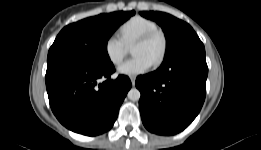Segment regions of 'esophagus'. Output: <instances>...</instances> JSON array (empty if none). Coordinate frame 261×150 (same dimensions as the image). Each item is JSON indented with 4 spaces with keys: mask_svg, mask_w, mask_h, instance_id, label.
Listing matches in <instances>:
<instances>
[{
    "mask_svg": "<svg viewBox=\"0 0 261 150\" xmlns=\"http://www.w3.org/2000/svg\"><path fill=\"white\" fill-rule=\"evenodd\" d=\"M130 80H131L132 85L135 86L136 77L135 76H131Z\"/></svg>",
    "mask_w": 261,
    "mask_h": 150,
    "instance_id": "1",
    "label": "esophagus"
}]
</instances>
